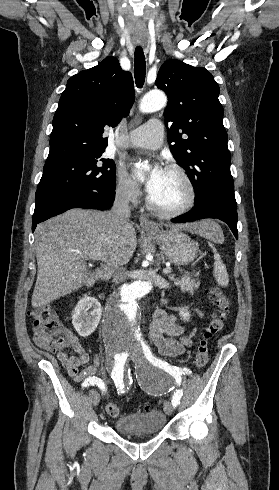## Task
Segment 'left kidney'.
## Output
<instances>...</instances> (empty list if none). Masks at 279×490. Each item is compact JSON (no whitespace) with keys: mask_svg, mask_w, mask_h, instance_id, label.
<instances>
[{"mask_svg":"<svg viewBox=\"0 0 279 490\" xmlns=\"http://www.w3.org/2000/svg\"><path fill=\"white\" fill-rule=\"evenodd\" d=\"M179 310V316L181 318V320H183V322H189L192 314H190L189 312V308H187V306H185V308H178Z\"/></svg>","mask_w":279,"mask_h":490,"instance_id":"1","label":"left kidney"}]
</instances>
